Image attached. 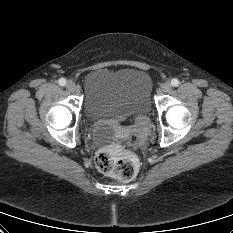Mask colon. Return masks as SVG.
I'll list each match as a JSON object with an SVG mask.
<instances>
[{
  "mask_svg": "<svg viewBox=\"0 0 233 233\" xmlns=\"http://www.w3.org/2000/svg\"><path fill=\"white\" fill-rule=\"evenodd\" d=\"M95 163L102 173L122 181L133 179L138 169L135 158L121 150L118 140L99 150Z\"/></svg>",
  "mask_w": 233,
  "mask_h": 233,
  "instance_id": "obj_1",
  "label": "colon"
}]
</instances>
